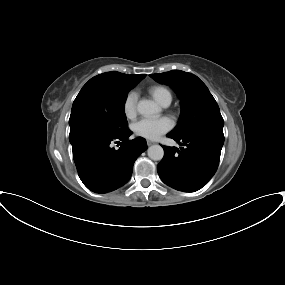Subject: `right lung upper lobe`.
<instances>
[{
  "label": "right lung upper lobe",
  "instance_id": "cb5924a9",
  "mask_svg": "<svg viewBox=\"0 0 285 285\" xmlns=\"http://www.w3.org/2000/svg\"><path fill=\"white\" fill-rule=\"evenodd\" d=\"M146 75H128L116 71L106 72L90 79L83 88L90 86L135 87Z\"/></svg>",
  "mask_w": 285,
  "mask_h": 285
}]
</instances>
